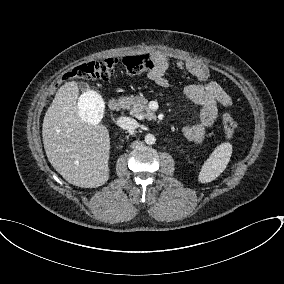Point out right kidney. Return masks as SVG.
I'll return each instance as SVG.
<instances>
[{
  "mask_svg": "<svg viewBox=\"0 0 284 284\" xmlns=\"http://www.w3.org/2000/svg\"><path fill=\"white\" fill-rule=\"evenodd\" d=\"M78 106V114L83 122L91 125H97L100 122L102 118L100 110L103 107V100L99 94L87 90L80 96Z\"/></svg>",
  "mask_w": 284,
  "mask_h": 284,
  "instance_id": "right-kidney-1",
  "label": "right kidney"
}]
</instances>
